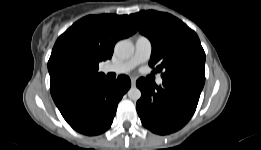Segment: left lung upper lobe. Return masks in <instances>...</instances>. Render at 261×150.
I'll return each mask as SVG.
<instances>
[{
	"label": "left lung upper lobe",
	"mask_w": 261,
	"mask_h": 150,
	"mask_svg": "<svg viewBox=\"0 0 261 150\" xmlns=\"http://www.w3.org/2000/svg\"><path fill=\"white\" fill-rule=\"evenodd\" d=\"M130 17L141 34L152 43L149 61L153 72L163 71L162 78L191 74L205 79V52L197 34L178 18L153 10Z\"/></svg>",
	"instance_id": "left-lung-upper-lobe-1"
}]
</instances>
